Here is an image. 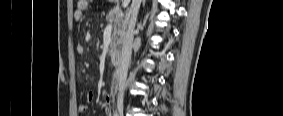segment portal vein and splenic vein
I'll return each instance as SVG.
<instances>
[{"label":"portal vein and splenic vein","mask_w":283,"mask_h":116,"mask_svg":"<svg viewBox=\"0 0 283 116\" xmlns=\"http://www.w3.org/2000/svg\"><path fill=\"white\" fill-rule=\"evenodd\" d=\"M123 2V7L125 8L127 6V3L129 2V0H124Z\"/></svg>","instance_id":"1"}]
</instances>
